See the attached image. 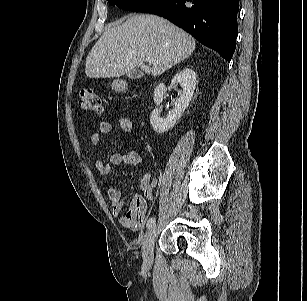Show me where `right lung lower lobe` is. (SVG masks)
Returning <instances> with one entry per match:
<instances>
[{
  "label": "right lung lower lobe",
  "instance_id": "obj_1",
  "mask_svg": "<svg viewBox=\"0 0 307 301\" xmlns=\"http://www.w3.org/2000/svg\"><path fill=\"white\" fill-rule=\"evenodd\" d=\"M239 0H156L140 12L162 16L231 60L236 47Z\"/></svg>",
  "mask_w": 307,
  "mask_h": 301
}]
</instances>
